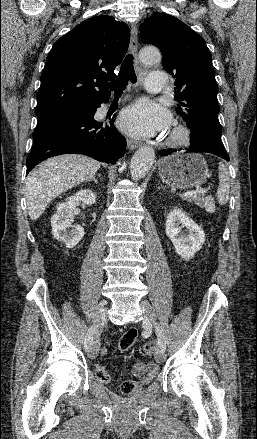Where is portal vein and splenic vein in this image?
I'll return each instance as SVG.
<instances>
[{"instance_id":"portal-vein-and-splenic-vein-1","label":"portal vein and splenic vein","mask_w":257,"mask_h":439,"mask_svg":"<svg viewBox=\"0 0 257 439\" xmlns=\"http://www.w3.org/2000/svg\"><path fill=\"white\" fill-rule=\"evenodd\" d=\"M194 194H195L194 191H187V192H185V193L183 194V196H184V197H191V196H193Z\"/></svg>"}]
</instances>
